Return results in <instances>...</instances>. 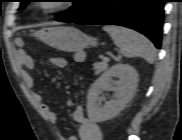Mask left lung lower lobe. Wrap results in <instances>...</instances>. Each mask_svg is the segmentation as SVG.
Masks as SVG:
<instances>
[{
  "label": "left lung lower lobe",
  "instance_id": "0a47b994",
  "mask_svg": "<svg viewBox=\"0 0 182 140\" xmlns=\"http://www.w3.org/2000/svg\"><path fill=\"white\" fill-rule=\"evenodd\" d=\"M165 2L166 0H102L92 12L71 23L111 24L131 28L143 33L159 49Z\"/></svg>",
  "mask_w": 182,
  "mask_h": 140
}]
</instances>
